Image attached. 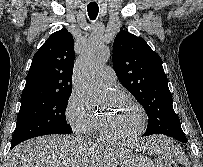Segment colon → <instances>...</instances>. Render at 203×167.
<instances>
[{"label": "colon", "mask_w": 203, "mask_h": 167, "mask_svg": "<svg viewBox=\"0 0 203 167\" xmlns=\"http://www.w3.org/2000/svg\"><path fill=\"white\" fill-rule=\"evenodd\" d=\"M157 167H179L176 163L167 157H159L157 160Z\"/></svg>", "instance_id": "5ec220e1"}]
</instances>
